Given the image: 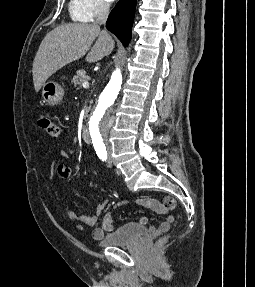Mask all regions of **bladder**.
<instances>
[{"label": "bladder", "instance_id": "31cf9c89", "mask_svg": "<svg viewBox=\"0 0 255 287\" xmlns=\"http://www.w3.org/2000/svg\"><path fill=\"white\" fill-rule=\"evenodd\" d=\"M147 232L148 229L146 227L128 222L105 234L99 240V243L102 246L129 245L142 238Z\"/></svg>", "mask_w": 255, "mask_h": 287}]
</instances>
